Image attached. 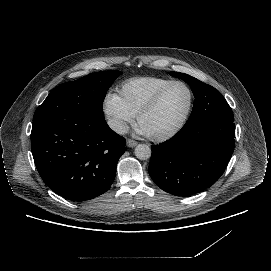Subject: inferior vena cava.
<instances>
[{
	"label": "inferior vena cava",
	"mask_w": 271,
	"mask_h": 271,
	"mask_svg": "<svg viewBox=\"0 0 271 271\" xmlns=\"http://www.w3.org/2000/svg\"><path fill=\"white\" fill-rule=\"evenodd\" d=\"M108 125L116 133L122 134V135L126 134L128 132V129H129L127 124L124 121L118 120V119L109 120Z\"/></svg>",
	"instance_id": "obj_1"
}]
</instances>
